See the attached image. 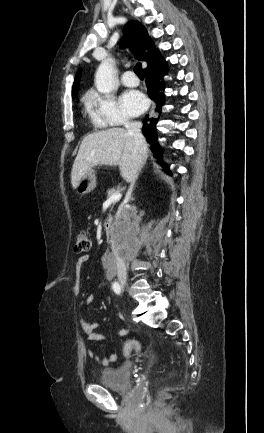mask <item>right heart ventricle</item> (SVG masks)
Returning a JSON list of instances; mask_svg holds the SVG:
<instances>
[{"mask_svg": "<svg viewBox=\"0 0 264 433\" xmlns=\"http://www.w3.org/2000/svg\"><path fill=\"white\" fill-rule=\"evenodd\" d=\"M86 104H87V99L85 100ZM93 118V117H92ZM93 123L95 127H101L102 125L100 123H98L96 120L93 119Z\"/></svg>", "mask_w": 264, "mask_h": 433, "instance_id": "right-heart-ventricle-1", "label": "right heart ventricle"}]
</instances>
